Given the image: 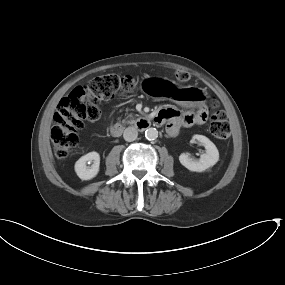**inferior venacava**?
I'll return each mask as SVG.
<instances>
[{"mask_svg": "<svg viewBox=\"0 0 285 285\" xmlns=\"http://www.w3.org/2000/svg\"><path fill=\"white\" fill-rule=\"evenodd\" d=\"M138 136V131L135 127H128L124 130L123 137L126 141H134Z\"/></svg>", "mask_w": 285, "mask_h": 285, "instance_id": "602c4592", "label": "inferior vena cava"}]
</instances>
